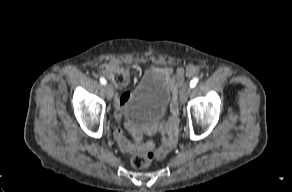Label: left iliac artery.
Wrapping results in <instances>:
<instances>
[{"label":"left iliac artery","instance_id":"obj_1","mask_svg":"<svg viewBox=\"0 0 292 192\" xmlns=\"http://www.w3.org/2000/svg\"><path fill=\"white\" fill-rule=\"evenodd\" d=\"M198 82H199L198 77H194L190 82V87L191 88L195 87Z\"/></svg>","mask_w":292,"mask_h":192}]
</instances>
